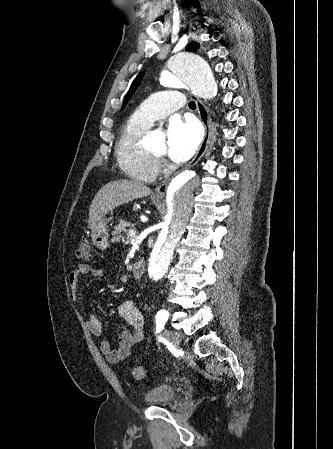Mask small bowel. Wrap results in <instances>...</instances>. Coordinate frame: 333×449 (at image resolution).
Returning <instances> with one entry per match:
<instances>
[{"label": "small bowel", "instance_id": "obj_1", "mask_svg": "<svg viewBox=\"0 0 333 449\" xmlns=\"http://www.w3.org/2000/svg\"><path fill=\"white\" fill-rule=\"evenodd\" d=\"M86 274H91L95 278H101L104 275V271L89 264H79L68 276L69 288L73 296L78 295L80 278ZM118 314L124 321L118 340V347L113 349L110 341L105 338L99 341L101 351L107 360L112 363H119L126 359L132 349L143 343L146 337L143 316L132 301L126 300L121 302L118 305ZM87 327L93 335L102 337L104 332L103 323L94 314L89 315Z\"/></svg>", "mask_w": 333, "mask_h": 449}]
</instances>
